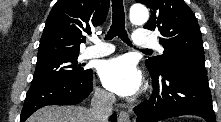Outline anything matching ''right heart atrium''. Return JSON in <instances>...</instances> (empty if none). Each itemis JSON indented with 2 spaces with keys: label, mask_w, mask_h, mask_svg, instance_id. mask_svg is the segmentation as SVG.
I'll return each instance as SVG.
<instances>
[{
  "label": "right heart atrium",
  "mask_w": 221,
  "mask_h": 122,
  "mask_svg": "<svg viewBox=\"0 0 221 122\" xmlns=\"http://www.w3.org/2000/svg\"><path fill=\"white\" fill-rule=\"evenodd\" d=\"M96 94L102 100H109L110 99L109 94L106 91H104L103 89H101V88H98L96 90Z\"/></svg>",
  "instance_id": "obj_1"
}]
</instances>
